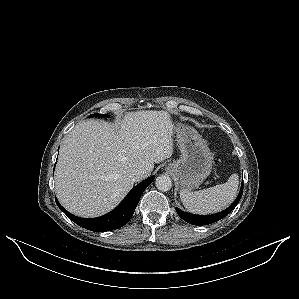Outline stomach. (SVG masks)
<instances>
[{
    "label": "stomach",
    "instance_id": "0dacf381",
    "mask_svg": "<svg viewBox=\"0 0 299 299\" xmlns=\"http://www.w3.org/2000/svg\"><path fill=\"white\" fill-rule=\"evenodd\" d=\"M173 125L181 155L166 170L176 178L181 189L189 191L198 187L210 175L211 152L193 127L176 121H173Z\"/></svg>",
    "mask_w": 299,
    "mask_h": 299
}]
</instances>
